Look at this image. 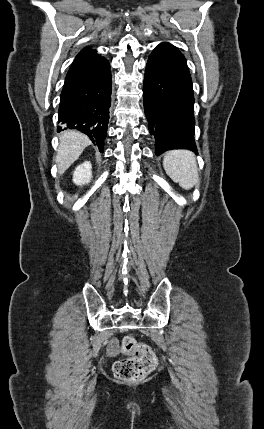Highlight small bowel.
I'll list each match as a JSON object with an SVG mask.
<instances>
[{"label":"small bowel","mask_w":264,"mask_h":429,"mask_svg":"<svg viewBox=\"0 0 264 429\" xmlns=\"http://www.w3.org/2000/svg\"><path fill=\"white\" fill-rule=\"evenodd\" d=\"M108 350H109L110 354H112V355H116L118 353V343H117L116 339H112L109 342Z\"/></svg>","instance_id":"small-bowel-1"}]
</instances>
